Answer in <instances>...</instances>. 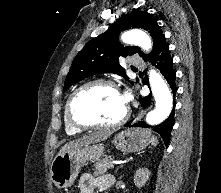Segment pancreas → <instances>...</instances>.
Wrapping results in <instances>:
<instances>
[{"instance_id": "pancreas-1", "label": "pancreas", "mask_w": 221, "mask_h": 193, "mask_svg": "<svg viewBox=\"0 0 221 193\" xmlns=\"http://www.w3.org/2000/svg\"><path fill=\"white\" fill-rule=\"evenodd\" d=\"M113 159L111 157H106L103 160H101L100 162H97L96 164H94V175L95 176H101L105 173H107L108 169H109V165H110V161H112Z\"/></svg>"}]
</instances>
